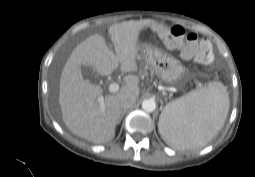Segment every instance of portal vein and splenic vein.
Listing matches in <instances>:
<instances>
[{
	"mask_svg": "<svg viewBox=\"0 0 255 177\" xmlns=\"http://www.w3.org/2000/svg\"><path fill=\"white\" fill-rule=\"evenodd\" d=\"M108 89L110 93H116L119 90V84L112 82L110 83ZM98 100L101 104L103 103V97H100Z\"/></svg>",
	"mask_w": 255,
	"mask_h": 177,
	"instance_id": "obj_1",
	"label": "portal vein and splenic vein"
}]
</instances>
